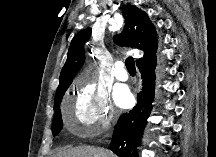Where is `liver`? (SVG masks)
Returning a JSON list of instances; mask_svg holds the SVG:
<instances>
[{"mask_svg":"<svg viewBox=\"0 0 216 157\" xmlns=\"http://www.w3.org/2000/svg\"><path fill=\"white\" fill-rule=\"evenodd\" d=\"M55 157H114V154L104 148L76 147L58 152Z\"/></svg>","mask_w":216,"mask_h":157,"instance_id":"liver-1","label":"liver"}]
</instances>
